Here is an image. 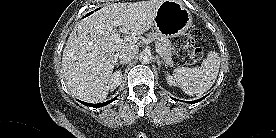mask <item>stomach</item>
<instances>
[{
  "label": "stomach",
  "mask_w": 276,
  "mask_h": 138,
  "mask_svg": "<svg viewBox=\"0 0 276 138\" xmlns=\"http://www.w3.org/2000/svg\"><path fill=\"white\" fill-rule=\"evenodd\" d=\"M191 13L176 0H164L158 7L154 27L159 34L177 37L184 34L192 25Z\"/></svg>",
  "instance_id": "1"
}]
</instances>
